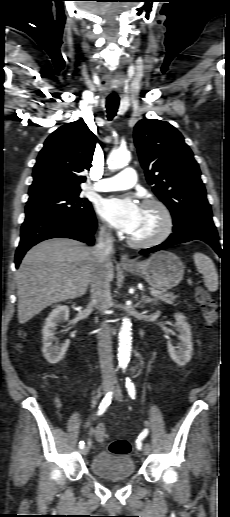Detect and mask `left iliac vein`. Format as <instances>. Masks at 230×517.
<instances>
[{"label": "left iliac vein", "mask_w": 230, "mask_h": 517, "mask_svg": "<svg viewBox=\"0 0 230 517\" xmlns=\"http://www.w3.org/2000/svg\"><path fill=\"white\" fill-rule=\"evenodd\" d=\"M114 398L117 400V401H122V392L120 390L119 387H117L115 390H114ZM151 451V447L148 443H145L144 446H143V453L145 455H148Z\"/></svg>", "instance_id": "1"}]
</instances>
